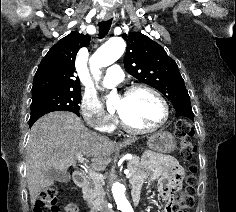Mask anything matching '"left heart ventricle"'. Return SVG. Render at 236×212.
<instances>
[{"instance_id":"obj_1","label":"left heart ventricle","mask_w":236,"mask_h":212,"mask_svg":"<svg viewBox=\"0 0 236 212\" xmlns=\"http://www.w3.org/2000/svg\"><path fill=\"white\" fill-rule=\"evenodd\" d=\"M117 113L135 128H149L156 125L163 116V108L150 92L139 90L116 101Z\"/></svg>"}]
</instances>
